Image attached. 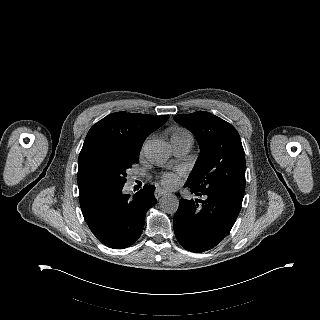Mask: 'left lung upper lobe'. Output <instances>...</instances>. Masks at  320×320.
<instances>
[{"label": "left lung upper lobe", "mask_w": 320, "mask_h": 320, "mask_svg": "<svg viewBox=\"0 0 320 320\" xmlns=\"http://www.w3.org/2000/svg\"><path fill=\"white\" fill-rule=\"evenodd\" d=\"M174 120L195 135L201 151L187 186L200 193L222 187L244 192L245 154L236 129L202 111L177 115Z\"/></svg>", "instance_id": "1"}]
</instances>
